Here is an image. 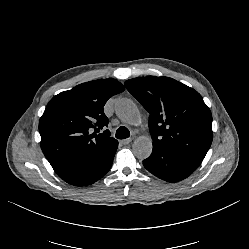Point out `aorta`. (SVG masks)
<instances>
[{"label": "aorta", "mask_w": 249, "mask_h": 249, "mask_svg": "<svg viewBox=\"0 0 249 249\" xmlns=\"http://www.w3.org/2000/svg\"><path fill=\"white\" fill-rule=\"evenodd\" d=\"M117 116L129 125H136L140 121V113L136 104L128 98H120L115 103ZM153 149L150 137L140 136L133 143V153L138 159L148 158Z\"/></svg>", "instance_id": "aorta-1"}]
</instances>
